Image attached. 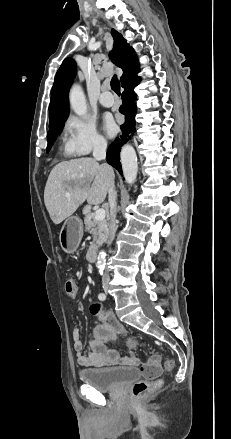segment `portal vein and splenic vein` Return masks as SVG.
<instances>
[{
  "label": "portal vein and splenic vein",
  "mask_w": 231,
  "mask_h": 439,
  "mask_svg": "<svg viewBox=\"0 0 231 439\" xmlns=\"http://www.w3.org/2000/svg\"><path fill=\"white\" fill-rule=\"evenodd\" d=\"M105 216H106V212H105L104 209L101 208V209L96 210V212H95V220L102 221V220L105 219Z\"/></svg>",
  "instance_id": "portal-vein-and-splenic-vein-1"
}]
</instances>
